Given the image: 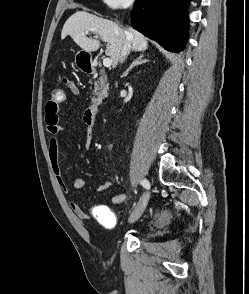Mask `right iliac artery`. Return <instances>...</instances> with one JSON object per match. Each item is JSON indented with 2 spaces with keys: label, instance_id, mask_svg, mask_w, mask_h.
I'll use <instances>...</instances> for the list:
<instances>
[{
  "label": "right iliac artery",
  "instance_id": "right-iliac-artery-1",
  "mask_svg": "<svg viewBox=\"0 0 249 294\" xmlns=\"http://www.w3.org/2000/svg\"><path fill=\"white\" fill-rule=\"evenodd\" d=\"M140 184H141L144 188H146V189H149V188H150V183H149V181L146 180V179H142V180L140 181Z\"/></svg>",
  "mask_w": 249,
  "mask_h": 294
}]
</instances>
